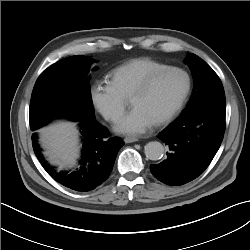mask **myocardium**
<instances>
[{
  "mask_svg": "<svg viewBox=\"0 0 250 250\" xmlns=\"http://www.w3.org/2000/svg\"><path fill=\"white\" fill-rule=\"evenodd\" d=\"M169 72H179L184 75L186 79V86L185 90L180 98V100L177 102V104L173 107V109L167 113L164 117H162L160 120L155 122L156 126H164L168 123H170L183 109L185 106L190 92L192 88V80L189 72L181 67L177 66H167L164 68H161L159 70L154 71L153 73L149 74L141 83L140 85L134 90L133 94L131 95V100L139 95H142L146 93L151 86L154 84V82L163 74L169 73Z\"/></svg>",
  "mask_w": 250,
  "mask_h": 250,
  "instance_id": "myocardium-1",
  "label": "myocardium"
}]
</instances>
